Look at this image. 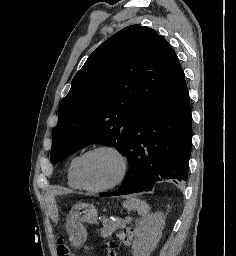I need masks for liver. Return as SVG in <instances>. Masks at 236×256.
<instances>
[{
  "mask_svg": "<svg viewBox=\"0 0 236 256\" xmlns=\"http://www.w3.org/2000/svg\"><path fill=\"white\" fill-rule=\"evenodd\" d=\"M45 202L47 204L48 214L50 218L54 220V216L57 212L55 194H51V192H47V194H45Z\"/></svg>",
  "mask_w": 236,
  "mask_h": 256,
  "instance_id": "obj_1",
  "label": "liver"
}]
</instances>
